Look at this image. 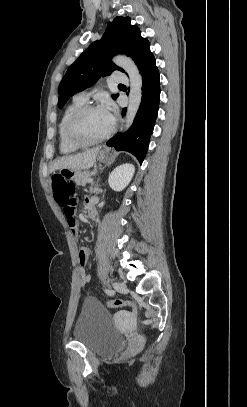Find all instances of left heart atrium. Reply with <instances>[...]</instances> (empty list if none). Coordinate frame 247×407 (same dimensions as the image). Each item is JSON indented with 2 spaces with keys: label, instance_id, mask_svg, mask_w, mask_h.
<instances>
[{
  "label": "left heart atrium",
  "instance_id": "left-heart-atrium-1",
  "mask_svg": "<svg viewBox=\"0 0 247 407\" xmlns=\"http://www.w3.org/2000/svg\"><path fill=\"white\" fill-rule=\"evenodd\" d=\"M103 113L109 120L111 124H114L115 121V107L114 104L110 100H106L101 107Z\"/></svg>",
  "mask_w": 247,
  "mask_h": 407
}]
</instances>
